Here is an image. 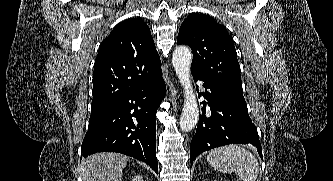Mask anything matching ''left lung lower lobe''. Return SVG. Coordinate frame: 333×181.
I'll use <instances>...</instances> for the list:
<instances>
[{"mask_svg":"<svg viewBox=\"0 0 333 181\" xmlns=\"http://www.w3.org/2000/svg\"><path fill=\"white\" fill-rule=\"evenodd\" d=\"M195 80L204 81V98L210 107L209 114L204 108L199 118L195 136L191 141L190 161L202 152L227 144H250L257 148L262 157V149L257 128L248 114L245 102L236 99L222 85L192 74Z\"/></svg>","mask_w":333,"mask_h":181,"instance_id":"obj_1","label":"left lung lower lobe"}]
</instances>
